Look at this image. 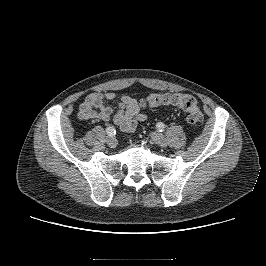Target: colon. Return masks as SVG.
<instances>
[{
    "label": "colon",
    "instance_id": "colon-1",
    "mask_svg": "<svg viewBox=\"0 0 266 266\" xmlns=\"http://www.w3.org/2000/svg\"><path fill=\"white\" fill-rule=\"evenodd\" d=\"M143 107L176 106L187 115V122L191 126H199L203 121V114L196 98L182 93H151L140 101Z\"/></svg>",
    "mask_w": 266,
    "mask_h": 266
}]
</instances>
